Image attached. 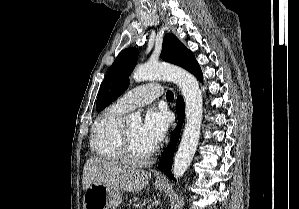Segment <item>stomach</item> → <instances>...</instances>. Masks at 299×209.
Masks as SVG:
<instances>
[{
	"mask_svg": "<svg viewBox=\"0 0 299 209\" xmlns=\"http://www.w3.org/2000/svg\"><path fill=\"white\" fill-rule=\"evenodd\" d=\"M155 188L162 190L164 185L155 182ZM122 202L119 189L104 184L93 183L84 194V209H116Z\"/></svg>",
	"mask_w": 299,
	"mask_h": 209,
	"instance_id": "stomach-1",
	"label": "stomach"
}]
</instances>
